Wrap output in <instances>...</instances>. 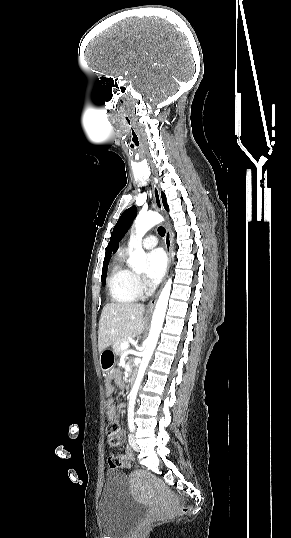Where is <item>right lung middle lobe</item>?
I'll list each match as a JSON object with an SVG mask.
<instances>
[{"label": "right lung middle lobe", "mask_w": 291, "mask_h": 538, "mask_svg": "<svg viewBox=\"0 0 291 538\" xmlns=\"http://www.w3.org/2000/svg\"><path fill=\"white\" fill-rule=\"evenodd\" d=\"M109 261H106L103 263V270H102V283L105 285L106 275H107V267H108Z\"/></svg>", "instance_id": "1"}]
</instances>
